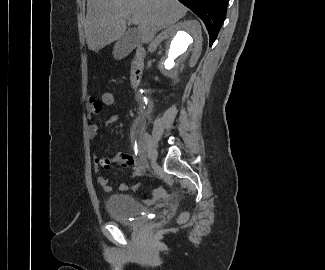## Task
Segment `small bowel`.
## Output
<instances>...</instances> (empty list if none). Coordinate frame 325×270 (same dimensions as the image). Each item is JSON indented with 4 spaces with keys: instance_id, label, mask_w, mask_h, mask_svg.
I'll return each instance as SVG.
<instances>
[{
    "instance_id": "1",
    "label": "small bowel",
    "mask_w": 325,
    "mask_h": 270,
    "mask_svg": "<svg viewBox=\"0 0 325 270\" xmlns=\"http://www.w3.org/2000/svg\"><path fill=\"white\" fill-rule=\"evenodd\" d=\"M101 96H106V95L103 92ZM111 96H114V94H112ZM113 104L114 103H100V101L97 100L96 98H94V97L90 98L87 103V113H88L89 119H91L95 115H98L102 111V108L104 106H111ZM115 120H116V117L109 119L107 121V125L113 124L115 122ZM99 132H100L99 126L95 123H91L89 126V136L91 138H95L96 136H98ZM113 162H118L122 167H128L133 164L134 159L131 154L125 153V152H121V153L111 156V157L98 156V155L94 156L95 168L97 170L100 168L110 169ZM140 175H141V171L136 168L133 171V176L138 177ZM98 182L106 192H111L113 190V187L109 183L108 178H106L104 176H99ZM138 187H139L138 183H134V184H130V185L120 184L118 186V189H119V191L124 192V191H129V190H137Z\"/></svg>"
}]
</instances>
